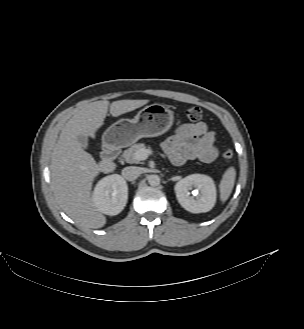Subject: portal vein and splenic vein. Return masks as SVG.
<instances>
[{"label":"portal vein and splenic vein","instance_id":"18ae733b","mask_svg":"<svg viewBox=\"0 0 304 329\" xmlns=\"http://www.w3.org/2000/svg\"><path fill=\"white\" fill-rule=\"evenodd\" d=\"M151 153L150 149L142 148L135 152L134 157L136 160L141 161L147 159Z\"/></svg>","mask_w":304,"mask_h":329}]
</instances>
